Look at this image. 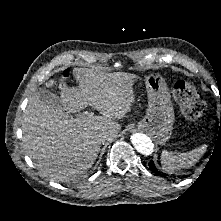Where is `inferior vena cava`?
Masks as SVG:
<instances>
[{"label":"inferior vena cava","instance_id":"inferior-vena-cava-1","mask_svg":"<svg viewBox=\"0 0 221 221\" xmlns=\"http://www.w3.org/2000/svg\"><path fill=\"white\" fill-rule=\"evenodd\" d=\"M102 137H103L104 139H107V138L110 137V134L107 133V132H104V133H102Z\"/></svg>","mask_w":221,"mask_h":221}]
</instances>
